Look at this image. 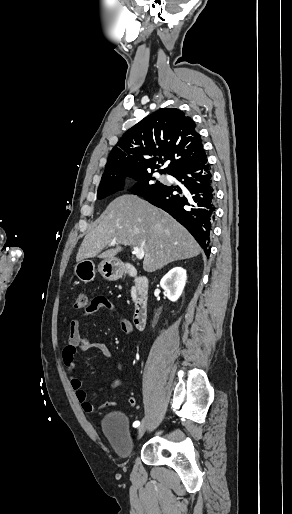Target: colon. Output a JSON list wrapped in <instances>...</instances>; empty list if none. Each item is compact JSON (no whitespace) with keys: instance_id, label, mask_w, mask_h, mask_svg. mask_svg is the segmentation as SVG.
Returning a JSON list of instances; mask_svg holds the SVG:
<instances>
[{"instance_id":"5ec220e1","label":"colon","mask_w":292,"mask_h":514,"mask_svg":"<svg viewBox=\"0 0 292 514\" xmlns=\"http://www.w3.org/2000/svg\"><path fill=\"white\" fill-rule=\"evenodd\" d=\"M90 309L88 293L85 291L79 292L76 297L75 310H88Z\"/></svg>"}]
</instances>
